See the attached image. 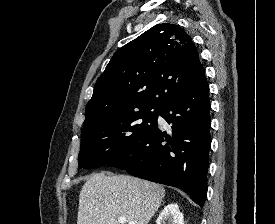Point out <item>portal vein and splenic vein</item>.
Wrapping results in <instances>:
<instances>
[{
  "mask_svg": "<svg viewBox=\"0 0 275 224\" xmlns=\"http://www.w3.org/2000/svg\"><path fill=\"white\" fill-rule=\"evenodd\" d=\"M118 221L120 224H125L126 223V218L125 217H119ZM129 224H135L134 222H129Z\"/></svg>",
  "mask_w": 275,
  "mask_h": 224,
  "instance_id": "1",
  "label": "portal vein and splenic vein"
}]
</instances>
